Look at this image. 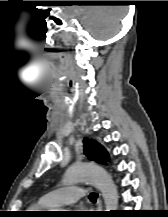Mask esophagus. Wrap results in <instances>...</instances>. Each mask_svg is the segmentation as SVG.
Listing matches in <instances>:
<instances>
[{
    "instance_id": "obj_1",
    "label": "esophagus",
    "mask_w": 168,
    "mask_h": 217,
    "mask_svg": "<svg viewBox=\"0 0 168 217\" xmlns=\"http://www.w3.org/2000/svg\"><path fill=\"white\" fill-rule=\"evenodd\" d=\"M98 205L101 206L100 202H98Z\"/></svg>"
}]
</instances>
